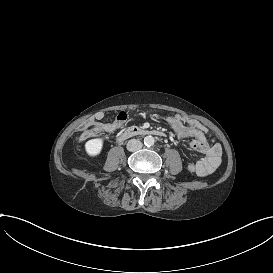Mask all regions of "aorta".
Here are the masks:
<instances>
[{
    "label": "aorta",
    "mask_w": 273,
    "mask_h": 273,
    "mask_svg": "<svg viewBox=\"0 0 273 273\" xmlns=\"http://www.w3.org/2000/svg\"><path fill=\"white\" fill-rule=\"evenodd\" d=\"M155 143V139L153 136L149 135L144 138V144L146 146H153Z\"/></svg>",
    "instance_id": "1"
}]
</instances>
